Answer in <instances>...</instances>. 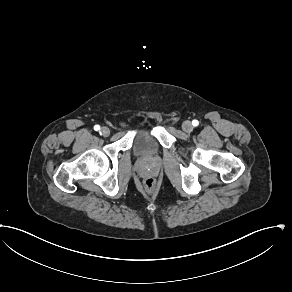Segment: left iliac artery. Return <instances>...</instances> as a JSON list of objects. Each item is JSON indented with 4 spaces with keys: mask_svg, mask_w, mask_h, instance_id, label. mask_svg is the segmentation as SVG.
<instances>
[{
    "mask_svg": "<svg viewBox=\"0 0 292 292\" xmlns=\"http://www.w3.org/2000/svg\"><path fill=\"white\" fill-rule=\"evenodd\" d=\"M198 124H199L198 120H193V121H192V125H193V126L196 127V126H198Z\"/></svg>",
    "mask_w": 292,
    "mask_h": 292,
    "instance_id": "obj_1",
    "label": "left iliac artery"
}]
</instances>
